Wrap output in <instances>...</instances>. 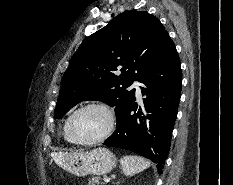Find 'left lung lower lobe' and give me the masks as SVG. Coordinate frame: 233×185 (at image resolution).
Segmentation results:
<instances>
[{
    "mask_svg": "<svg viewBox=\"0 0 233 185\" xmlns=\"http://www.w3.org/2000/svg\"><path fill=\"white\" fill-rule=\"evenodd\" d=\"M138 80L145 85L141 87L146 96L143 109L136 112L137 106L132 103L103 144L146 157L156 163L161 173L170 150L182 88L180 59L170 37Z\"/></svg>",
    "mask_w": 233,
    "mask_h": 185,
    "instance_id": "obj_1",
    "label": "left lung lower lobe"
}]
</instances>
